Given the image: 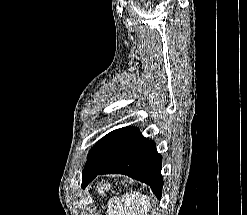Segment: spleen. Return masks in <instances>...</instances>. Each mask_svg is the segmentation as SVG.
<instances>
[{"label":"spleen","mask_w":247,"mask_h":215,"mask_svg":"<svg viewBox=\"0 0 247 215\" xmlns=\"http://www.w3.org/2000/svg\"><path fill=\"white\" fill-rule=\"evenodd\" d=\"M150 198L138 192H126L121 200L112 198L108 202V215H149Z\"/></svg>","instance_id":"1"}]
</instances>
